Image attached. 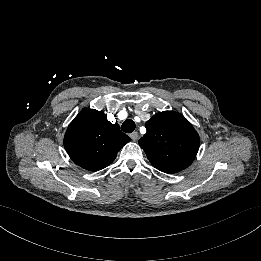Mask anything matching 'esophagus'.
Returning <instances> with one entry per match:
<instances>
[{
  "label": "esophagus",
  "mask_w": 261,
  "mask_h": 261,
  "mask_svg": "<svg viewBox=\"0 0 261 261\" xmlns=\"http://www.w3.org/2000/svg\"><path fill=\"white\" fill-rule=\"evenodd\" d=\"M130 137L133 141H136L139 139V134L137 132H133L130 134Z\"/></svg>",
  "instance_id": "34e87169"
}]
</instances>
